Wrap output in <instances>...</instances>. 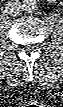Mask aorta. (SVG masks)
Instances as JSON below:
<instances>
[{
  "mask_svg": "<svg viewBox=\"0 0 63 107\" xmlns=\"http://www.w3.org/2000/svg\"><path fill=\"white\" fill-rule=\"evenodd\" d=\"M38 4L35 0H24L22 9L27 13H33L37 10Z\"/></svg>",
  "mask_w": 63,
  "mask_h": 107,
  "instance_id": "obj_1",
  "label": "aorta"
}]
</instances>
